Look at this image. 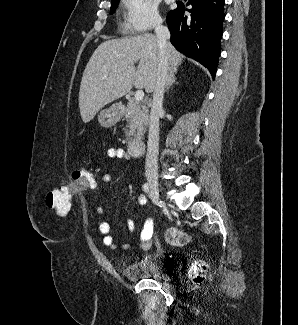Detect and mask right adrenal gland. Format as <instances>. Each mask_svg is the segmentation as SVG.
Segmentation results:
<instances>
[{"label": "right adrenal gland", "mask_w": 298, "mask_h": 325, "mask_svg": "<svg viewBox=\"0 0 298 325\" xmlns=\"http://www.w3.org/2000/svg\"><path fill=\"white\" fill-rule=\"evenodd\" d=\"M176 72H177V70H174V68H171V70L168 74L167 82L165 84L164 92H166V90H169V88H170L171 84H173V82H176Z\"/></svg>", "instance_id": "1"}]
</instances>
